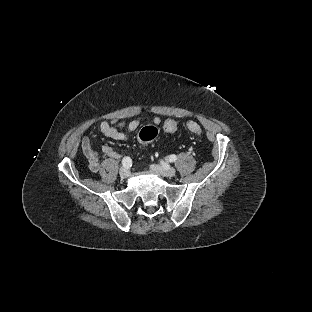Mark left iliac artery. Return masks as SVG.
I'll return each mask as SVG.
<instances>
[{"instance_id":"obj_1","label":"left iliac artery","mask_w":312,"mask_h":312,"mask_svg":"<svg viewBox=\"0 0 312 312\" xmlns=\"http://www.w3.org/2000/svg\"><path fill=\"white\" fill-rule=\"evenodd\" d=\"M168 160L170 161V162H175L176 160H177V156L176 155H170L169 157H168Z\"/></svg>"}]
</instances>
